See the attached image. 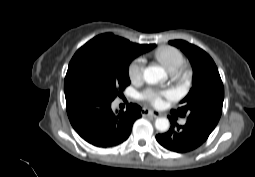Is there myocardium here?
Returning a JSON list of instances; mask_svg holds the SVG:
<instances>
[{"label": "myocardium", "instance_id": "1", "mask_svg": "<svg viewBox=\"0 0 255 177\" xmlns=\"http://www.w3.org/2000/svg\"><path fill=\"white\" fill-rule=\"evenodd\" d=\"M185 71H186V67H185V65H183V66H182L180 69H178V70L176 71V73L174 74L175 78L178 79V80H181L182 77H183V75H184V73H185Z\"/></svg>", "mask_w": 255, "mask_h": 177}]
</instances>
